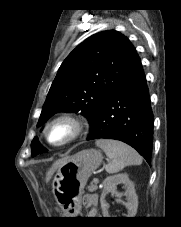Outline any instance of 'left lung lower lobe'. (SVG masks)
<instances>
[{
	"label": "left lung lower lobe",
	"instance_id": "obj_1",
	"mask_svg": "<svg viewBox=\"0 0 181 227\" xmlns=\"http://www.w3.org/2000/svg\"><path fill=\"white\" fill-rule=\"evenodd\" d=\"M154 117L146 78L137 57L105 102L87 140H120L136 149L150 164Z\"/></svg>",
	"mask_w": 181,
	"mask_h": 227
}]
</instances>
